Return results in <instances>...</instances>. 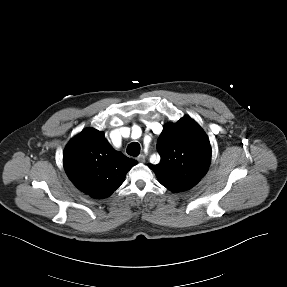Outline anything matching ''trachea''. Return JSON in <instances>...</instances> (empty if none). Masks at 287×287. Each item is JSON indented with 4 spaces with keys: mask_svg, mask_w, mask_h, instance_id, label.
Returning a JSON list of instances; mask_svg holds the SVG:
<instances>
[{
    "mask_svg": "<svg viewBox=\"0 0 287 287\" xmlns=\"http://www.w3.org/2000/svg\"><path fill=\"white\" fill-rule=\"evenodd\" d=\"M140 153V144L137 142H133L127 147V154L130 156H138Z\"/></svg>",
    "mask_w": 287,
    "mask_h": 287,
    "instance_id": "3493384b",
    "label": "trachea"
}]
</instances>
